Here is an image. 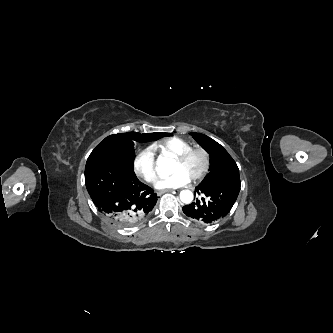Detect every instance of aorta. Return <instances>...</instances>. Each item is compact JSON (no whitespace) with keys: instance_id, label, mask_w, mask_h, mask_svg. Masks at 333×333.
<instances>
[{"instance_id":"1","label":"aorta","mask_w":333,"mask_h":333,"mask_svg":"<svg viewBox=\"0 0 333 333\" xmlns=\"http://www.w3.org/2000/svg\"><path fill=\"white\" fill-rule=\"evenodd\" d=\"M174 160L164 156H159L156 164V172L158 175H170L173 172L172 166ZM180 199L183 203L189 204L193 200V193L189 190L180 192Z\"/></svg>"}]
</instances>
